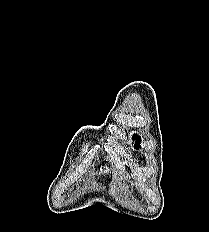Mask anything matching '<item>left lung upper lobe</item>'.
Listing matches in <instances>:
<instances>
[{
  "mask_svg": "<svg viewBox=\"0 0 209 232\" xmlns=\"http://www.w3.org/2000/svg\"><path fill=\"white\" fill-rule=\"evenodd\" d=\"M133 139H136V143H135V145H134V148H136V149H139L140 148V146H139V142H140V137L139 136H137L136 134L133 136Z\"/></svg>",
  "mask_w": 209,
  "mask_h": 232,
  "instance_id": "1",
  "label": "left lung upper lobe"
}]
</instances>
